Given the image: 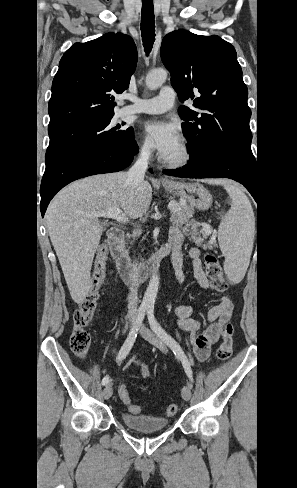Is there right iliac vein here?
<instances>
[{"label": "right iliac vein", "instance_id": "63e3f726", "mask_svg": "<svg viewBox=\"0 0 297 488\" xmlns=\"http://www.w3.org/2000/svg\"><path fill=\"white\" fill-rule=\"evenodd\" d=\"M133 321L131 322V326L133 325ZM113 393L112 387L108 384L103 390V396L105 399H109Z\"/></svg>", "mask_w": 297, "mask_h": 488}]
</instances>
